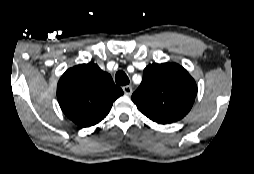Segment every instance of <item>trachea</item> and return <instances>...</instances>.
Returning <instances> with one entry per match:
<instances>
[{
    "label": "trachea",
    "mask_w": 254,
    "mask_h": 174,
    "mask_svg": "<svg viewBox=\"0 0 254 174\" xmlns=\"http://www.w3.org/2000/svg\"><path fill=\"white\" fill-rule=\"evenodd\" d=\"M115 81L119 85H128L129 78L123 71H118L115 75Z\"/></svg>",
    "instance_id": "obj_1"
}]
</instances>
